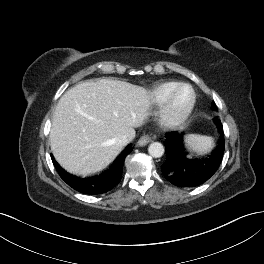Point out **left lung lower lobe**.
<instances>
[{
  "label": "left lung lower lobe",
  "mask_w": 264,
  "mask_h": 264,
  "mask_svg": "<svg viewBox=\"0 0 264 264\" xmlns=\"http://www.w3.org/2000/svg\"><path fill=\"white\" fill-rule=\"evenodd\" d=\"M214 119L220 139L217 147L204 157L192 158L188 155L183 145V134H166V160L161 169L169 182L178 187H195L206 182L217 171L224 155L225 140L221 121L217 117Z\"/></svg>",
  "instance_id": "left-lung-lower-lobe-1"
}]
</instances>
